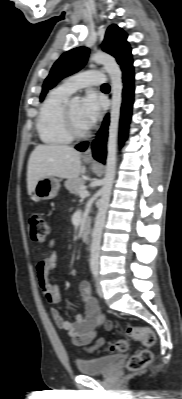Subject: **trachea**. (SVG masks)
I'll use <instances>...</instances> for the list:
<instances>
[{
  "mask_svg": "<svg viewBox=\"0 0 182 399\" xmlns=\"http://www.w3.org/2000/svg\"><path fill=\"white\" fill-rule=\"evenodd\" d=\"M102 88H103V89H109V85H108V84H103V85H102Z\"/></svg>",
  "mask_w": 182,
  "mask_h": 399,
  "instance_id": "obj_1",
  "label": "trachea"
}]
</instances>
